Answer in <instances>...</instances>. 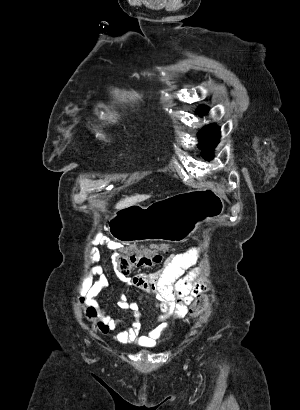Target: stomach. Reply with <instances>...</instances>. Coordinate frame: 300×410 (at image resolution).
Returning <instances> with one entry per match:
<instances>
[{
  "label": "stomach",
  "instance_id": "0dacf381",
  "mask_svg": "<svg viewBox=\"0 0 300 410\" xmlns=\"http://www.w3.org/2000/svg\"><path fill=\"white\" fill-rule=\"evenodd\" d=\"M224 198L212 189L190 190L148 207L118 209L109 218L111 236L120 242H183L208 220L222 215Z\"/></svg>",
  "mask_w": 300,
  "mask_h": 410
}]
</instances>
